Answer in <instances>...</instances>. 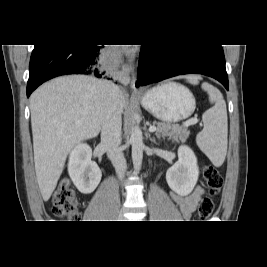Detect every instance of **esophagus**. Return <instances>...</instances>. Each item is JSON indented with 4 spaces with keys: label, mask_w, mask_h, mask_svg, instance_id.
<instances>
[{
    "label": "esophagus",
    "mask_w": 267,
    "mask_h": 267,
    "mask_svg": "<svg viewBox=\"0 0 267 267\" xmlns=\"http://www.w3.org/2000/svg\"><path fill=\"white\" fill-rule=\"evenodd\" d=\"M123 52L125 53V55H126L128 58L131 57V54H132V50H131V48L126 47V48L123 49ZM117 76H118L119 81H122V82H123V81H124V82L126 81L127 83L130 84V87H131L132 89H135V82H136V79H135L134 76H132V77L129 76V73H128L127 69H123V71L120 72V73H118Z\"/></svg>",
    "instance_id": "obj_1"
}]
</instances>
